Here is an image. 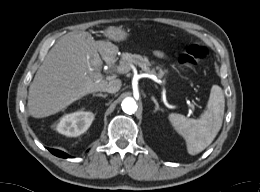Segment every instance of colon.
<instances>
[{"label":"colon","mask_w":260,"mask_h":192,"mask_svg":"<svg viewBox=\"0 0 260 192\" xmlns=\"http://www.w3.org/2000/svg\"><path fill=\"white\" fill-rule=\"evenodd\" d=\"M208 50L203 45H191L179 57L181 67H193L206 59Z\"/></svg>","instance_id":"colon-1"}]
</instances>
